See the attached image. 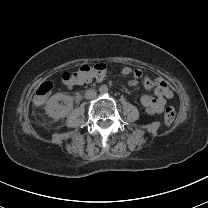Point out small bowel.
Returning <instances> with one entry per match:
<instances>
[{
    "instance_id": "obj_1",
    "label": "small bowel",
    "mask_w": 208,
    "mask_h": 208,
    "mask_svg": "<svg viewBox=\"0 0 208 208\" xmlns=\"http://www.w3.org/2000/svg\"><path fill=\"white\" fill-rule=\"evenodd\" d=\"M122 74L132 76L129 84L131 86L138 85L142 82L147 88L155 87V96L145 95L141 99V103L148 114L162 113L169 99L173 97V92L169 88L168 83L161 77H150L139 68L125 67ZM113 76L112 70H107L98 75L97 81H105L108 77ZM92 79L70 80L68 87L89 86Z\"/></svg>"
}]
</instances>
